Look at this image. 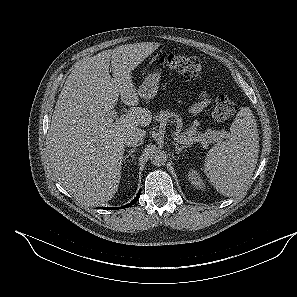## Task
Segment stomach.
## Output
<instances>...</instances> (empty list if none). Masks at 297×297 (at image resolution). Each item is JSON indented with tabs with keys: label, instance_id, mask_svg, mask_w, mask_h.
Masks as SVG:
<instances>
[{
	"label": "stomach",
	"instance_id": "obj_1",
	"mask_svg": "<svg viewBox=\"0 0 297 297\" xmlns=\"http://www.w3.org/2000/svg\"><path fill=\"white\" fill-rule=\"evenodd\" d=\"M161 70H155L148 74L139 86L138 95L143 99H152L157 94L159 88V81L161 77Z\"/></svg>",
	"mask_w": 297,
	"mask_h": 297
}]
</instances>
